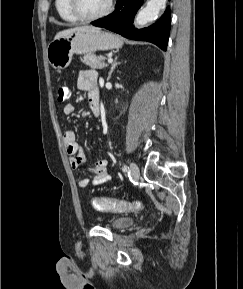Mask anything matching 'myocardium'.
I'll use <instances>...</instances> for the list:
<instances>
[{
    "label": "myocardium",
    "instance_id": "f54148a6",
    "mask_svg": "<svg viewBox=\"0 0 243 289\" xmlns=\"http://www.w3.org/2000/svg\"><path fill=\"white\" fill-rule=\"evenodd\" d=\"M69 9L71 13L78 19L82 21H94L108 16L114 9V0H109L107 7L98 14L95 15H85L78 8V0H68Z\"/></svg>",
    "mask_w": 243,
    "mask_h": 289
}]
</instances>
